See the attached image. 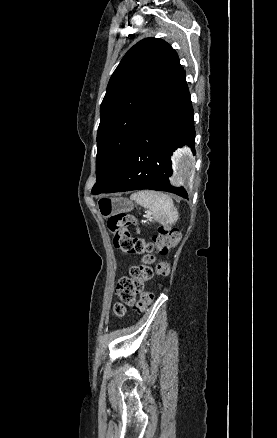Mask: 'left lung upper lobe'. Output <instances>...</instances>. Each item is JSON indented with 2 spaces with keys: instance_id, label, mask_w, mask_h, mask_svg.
<instances>
[{
  "instance_id": "1",
  "label": "left lung upper lobe",
  "mask_w": 277,
  "mask_h": 438,
  "mask_svg": "<svg viewBox=\"0 0 277 438\" xmlns=\"http://www.w3.org/2000/svg\"><path fill=\"white\" fill-rule=\"evenodd\" d=\"M150 97L168 102L181 113H193L178 55L158 38H146L134 45L109 80L100 107L93 194L102 193L120 175L134 140L139 113Z\"/></svg>"
}]
</instances>
